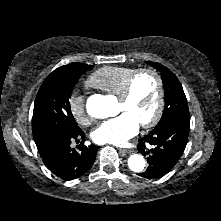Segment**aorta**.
<instances>
[{
  "label": "aorta",
  "instance_id": "762f6f07",
  "mask_svg": "<svg viewBox=\"0 0 221 221\" xmlns=\"http://www.w3.org/2000/svg\"><path fill=\"white\" fill-rule=\"evenodd\" d=\"M87 113L95 119H103L113 115V105L105 96L95 95L87 102ZM128 166L133 172H141L145 168V159L140 154L128 158Z\"/></svg>",
  "mask_w": 221,
  "mask_h": 221
}]
</instances>
